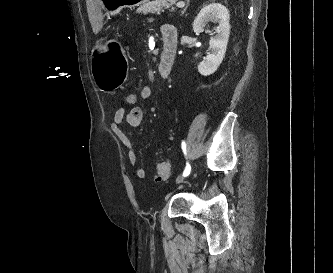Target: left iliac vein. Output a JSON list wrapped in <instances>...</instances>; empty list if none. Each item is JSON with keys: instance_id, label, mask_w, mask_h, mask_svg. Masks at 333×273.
Here are the masks:
<instances>
[{"instance_id": "4c4485c4", "label": "left iliac vein", "mask_w": 333, "mask_h": 273, "mask_svg": "<svg viewBox=\"0 0 333 273\" xmlns=\"http://www.w3.org/2000/svg\"><path fill=\"white\" fill-rule=\"evenodd\" d=\"M183 181H184V177H183V176L178 177V178L176 179V184L182 183Z\"/></svg>"}]
</instances>
